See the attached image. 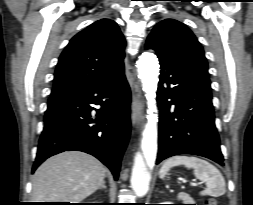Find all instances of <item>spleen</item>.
Masks as SVG:
<instances>
[{"mask_svg": "<svg viewBox=\"0 0 253 205\" xmlns=\"http://www.w3.org/2000/svg\"><path fill=\"white\" fill-rule=\"evenodd\" d=\"M178 165L192 168L194 176L206 183V189L200 192L201 195L218 197L226 192L221 172L211 163L195 156H174L167 159L159 171L160 178L164 179L170 168Z\"/></svg>", "mask_w": 253, "mask_h": 205, "instance_id": "obj_1", "label": "spleen"}]
</instances>
